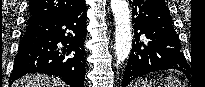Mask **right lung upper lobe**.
<instances>
[{
    "instance_id": "1",
    "label": "right lung upper lobe",
    "mask_w": 205,
    "mask_h": 87,
    "mask_svg": "<svg viewBox=\"0 0 205 87\" xmlns=\"http://www.w3.org/2000/svg\"><path fill=\"white\" fill-rule=\"evenodd\" d=\"M84 0H29V22L62 14Z\"/></svg>"
}]
</instances>
